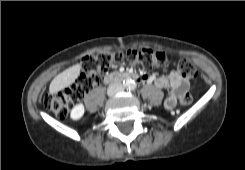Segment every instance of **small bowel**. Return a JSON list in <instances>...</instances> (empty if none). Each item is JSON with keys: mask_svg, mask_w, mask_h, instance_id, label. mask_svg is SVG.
<instances>
[{"mask_svg": "<svg viewBox=\"0 0 245 170\" xmlns=\"http://www.w3.org/2000/svg\"><path fill=\"white\" fill-rule=\"evenodd\" d=\"M143 81L148 84H154L158 89H170L164 103L167 110H172L178 100L187 94L190 87L189 81L176 70H172L166 76H143Z\"/></svg>", "mask_w": 245, "mask_h": 170, "instance_id": "1", "label": "small bowel"}]
</instances>
